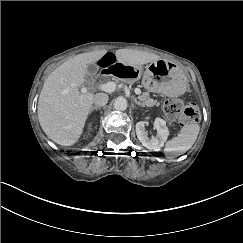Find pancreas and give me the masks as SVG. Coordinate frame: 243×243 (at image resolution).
<instances>
[{
    "label": "pancreas",
    "mask_w": 243,
    "mask_h": 243,
    "mask_svg": "<svg viewBox=\"0 0 243 243\" xmlns=\"http://www.w3.org/2000/svg\"><path fill=\"white\" fill-rule=\"evenodd\" d=\"M139 99L144 103V105L148 107L152 106H160V102L157 100H153L149 97V94L147 92L142 93L141 96H139Z\"/></svg>",
    "instance_id": "pancreas-1"
}]
</instances>
